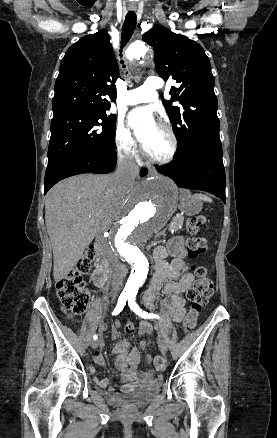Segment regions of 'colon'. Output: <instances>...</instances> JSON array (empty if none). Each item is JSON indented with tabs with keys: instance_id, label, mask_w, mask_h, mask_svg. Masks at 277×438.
<instances>
[{
	"instance_id": "colon-1",
	"label": "colon",
	"mask_w": 277,
	"mask_h": 438,
	"mask_svg": "<svg viewBox=\"0 0 277 438\" xmlns=\"http://www.w3.org/2000/svg\"><path fill=\"white\" fill-rule=\"evenodd\" d=\"M205 224L204 217H192L186 222V229L193 234L187 241V255L191 258H198L206 253L207 240L204 236L198 235L200 228ZM97 248H86L84 255L87 258L81 259L76 269L68 273L56 283V293L62 302L65 311L76 318L84 313L88 301L89 292L85 288V282L81 278L90 269V261L98 256ZM195 280L188 289V299L190 301V311L182 323L184 333L190 332L196 324L202 306L206 305L210 296L213 294L214 285L208 276L206 268L197 266L193 269ZM155 365L158 369L164 367V359L161 356L155 358Z\"/></svg>"
}]
</instances>
